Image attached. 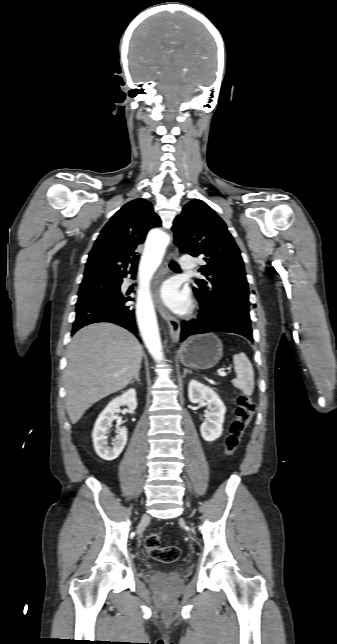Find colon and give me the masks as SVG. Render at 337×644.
I'll return each instance as SVG.
<instances>
[{
  "label": "colon",
  "mask_w": 337,
  "mask_h": 644,
  "mask_svg": "<svg viewBox=\"0 0 337 644\" xmlns=\"http://www.w3.org/2000/svg\"><path fill=\"white\" fill-rule=\"evenodd\" d=\"M255 412V403L252 398L246 394H240L237 397V407L235 409L234 420L230 425L229 433L225 441V454L231 456L236 451L243 432L249 424ZM161 536L157 532L148 534L144 541V547L148 554L155 560L162 563L176 562L181 554L178 546L170 545L160 546Z\"/></svg>",
  "instance_id": "colon-1"
}]
</instances>
